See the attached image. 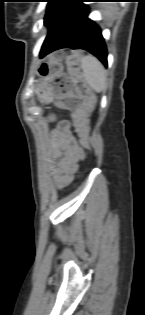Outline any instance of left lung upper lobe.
<instances>
[{
	"mask_svg": "<svg viewBox=\"0 0 145 315\" xmlns=\"http://www.w3.org/2000/svg\"><path fill=\"white\" fill-rule=\"evenodd\" d=\"M72 1L73 0H48L44 24L51 28L58 16Z\"/></svg>",
	"mask_w": 145,
	"mask_h": 315,
	"instance_id": "obj_1",
	"label": "left lung upper lobe"
}]
</instances>
